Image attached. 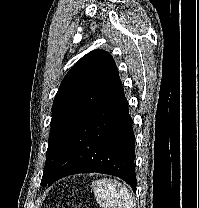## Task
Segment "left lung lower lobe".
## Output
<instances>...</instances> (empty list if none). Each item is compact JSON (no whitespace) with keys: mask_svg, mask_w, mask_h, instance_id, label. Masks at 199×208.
Listing matches in <instances>:
<instances>
[{"mask_svg":"<svg viewBox=\"0 0 199 208\" xmlns=\"http://www.w3.org/2000/svg\"><path fill=\"white\" fill-rule=\"evenodd\" d=\"M134 159L132 118L120 85L72 134L46 184L76 173L96 172L117 176L135 191Z\"/></svg>","mask_w":199,"mask_h":208,"instance_id":"obj_1","label":"left lung lower lobe"}]
</instances>
